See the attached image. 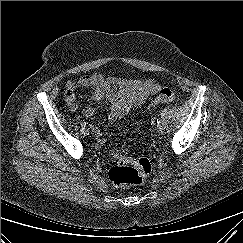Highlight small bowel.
<instances>
[{
    "label": "small bowel",
    "instance_id": "1",
    "mask_svg": "<svg viewBox=\"0 0 243 243\" xmlns=\"http://www.w3.org/2000/svg\"><path fill=\"white\" fill-rule=\"evenodd\" d=\"M86 87L94 88L92 98L95 101L107 100L110 102L111 109L108 117L112 122L125 117L132 108L142 105L148 96L157 93L161 88L155 79H124L104 76L100 73L84 75L66 83L65 100L71 111L79 109L76 91ZM83 115L86 118H92L95 110L92 107H86ZM92 131L97 139V145H104L105 140L100 127L94 124Z\"/></svg>",
    "mask_w": 243,
    "mask_h": 243
}]
</instances>
